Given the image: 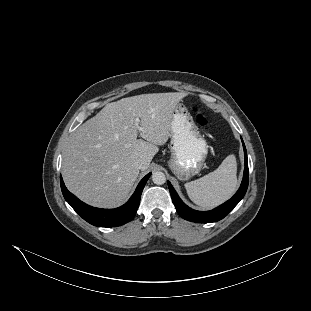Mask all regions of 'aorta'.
Listing matches in <instances>:
<instances>
[{"instance_id":"aorta-1","label":"aorta","mask_w":311,"mask_h":311,"mask_svg":"<svg viewBox=\"0 0 311 311\" xmlns=\"http://www.w3.org/2000/svg\"><path fill=\"white\" fill-rule=\"evenodd\" d=\"M152 181L156 185H163L166 182V176L161 171H156L152 174Z\"/></svg>"}]
</instances>
